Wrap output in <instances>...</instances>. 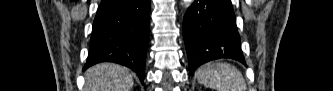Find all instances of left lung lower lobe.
Segmentation results:
<instances>
[{
    "label": "left lung lower lobe",
    "mask_w": 333,
    "mask_h": 91,
    "mask_svg": "<svg viewBox=\"0 0 333 91\" xmlns=\"http://www.w3.org/2000/svg\"><path fill=\"white\" fill-rule=\"evenodd\" d=\"M183 34L190 73L211 60L245 63L230 0H196L184 15Z\"/></svg>",
    "instance_id": "1"
}]
</instances>
